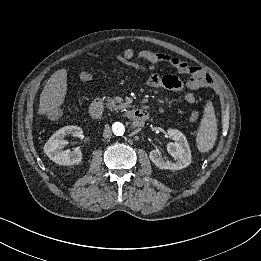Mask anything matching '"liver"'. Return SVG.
Returning a JSON list of instances; mask_svg holds the SVG:
<instances>
[{
	"label": "liver",
	"mask_w": 261,
	"mask_h": 261,
	"mask_svg": "<svg viewBox=\"0 0 261 261\" xmlns=\"http://www.w3.org/2000/svg\"><path fill=\"white\" fill-rule=\"evenodd\" d=\"M67 92V71L57 70L48 79L40 95L38 114L43 115L56 110L63 104Z\"/></svg>",
	"instance_id": "liver-1"
}]
</instances>
